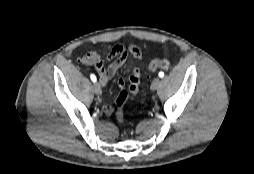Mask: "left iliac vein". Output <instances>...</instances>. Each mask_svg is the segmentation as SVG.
Listing matches in <instances>:
<instances>
[{
    "mask_svg": "<svg viewBox=\"0 0 254 174\" xmlns=\"http://www.w3.org/2000/svg\"><path fill=\"white\" fill-rule=\"evenodd\" d=\"M161 84V80L159 78H155L153 81H152V84H151V88L153 90H156Z\"/></svg>",
    "mask_w": 254,
    "mask_h": 174,
    "instance_id": "left-iliac-vein-1",
    "label": "left iliac vein"
}]
</instances>
